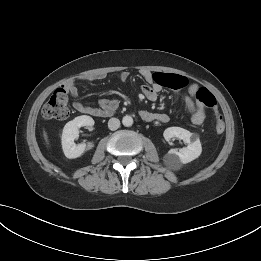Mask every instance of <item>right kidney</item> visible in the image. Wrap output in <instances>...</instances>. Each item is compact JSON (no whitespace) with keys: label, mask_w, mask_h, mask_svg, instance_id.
<instances>
[{"label":"right kidney","mask_w":261,"mask_h":261,"mask_svg":"<svg viewBox=\"0 0 261 261\" xmlns=\"http://www.w3.org/2000/svg\"><path fill=\"white\" fill-rule=\"evenodd\" d=\"M94 120L87 115L78 116L69 121L63 129L62 148L65 156L69 159L80 157L86 150L94 147L93 142L76 145L74 140L79 136V128L82 126H93Z\"/></svg>","instance_id":"1"}]
</instances>
